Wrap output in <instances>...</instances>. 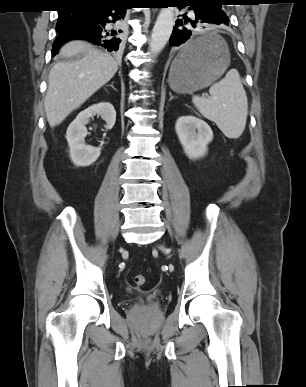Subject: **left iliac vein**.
Instances as JSON below:
<instances>
[{
    "label": "left iliac vein",
    "mask_w": 306,
    "mask_h": 387,
    "mask_svg": "<svg viewBox=\"0 0 306 387\" xmlns=\"http://www.w3.org/2000/svg\"><path fill=\"white\" fill-rule=\"evenodd\" d=\"M165 253H168L167 249L164 246L160 247Z\"/></svg>",
    "instance_id": "obj_1"
}]
</instances>
